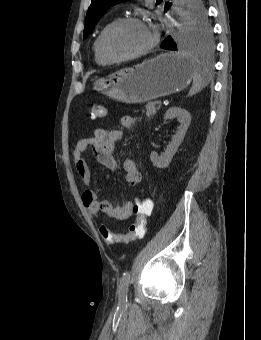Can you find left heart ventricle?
Wrapping results in <instances>:
<instances>
[{"mask_svg":"<svg viewBox=\"0 0 261 340\" xmlns=\"http://www.w3.org/2000/svg\"><path fill=\"white\" fill-rule=\"evenodd\" d=\"M150 34L137 23L125 24L114 30L107 39L108 50L117 56L130 55L148 45Z\"/></svg>","mask_w":261,"mask_h":340,"instance_id":"left-heart-ventricle-1","label":"left heart ventricle"}]
</instances>
